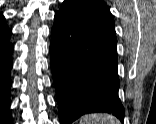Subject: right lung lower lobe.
<instances>
[{
    "mask_svg": "<svg viewBox=\"0 0 156 124\" xmlns=\"http://www.w3.org/2000/svg\"><path fill=\"white\" fill-rule=\"evenodd\" d=\"M10 35L11 30L6 25L0 27V124H12L9 90L13 45L9 42Z\"/></svg>",
    "mask_w": 156,
    "mask_h": 124,
    "instance_id": "right-lung-lower-lobe-1",
    "label": "right lung lower lobe"
}]
</instances>
